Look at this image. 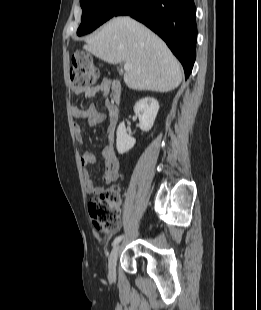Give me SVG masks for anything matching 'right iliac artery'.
Returning <instances> with one entry per match:
<instances>
[{"label": "right iliac artery", "instance_id": "right-iliac-artery-1", "mask_svg": "<svg viewBox=\"0 0 261 310\" xmlns=\"http://www.w3.org/2000/svg\"><path fill=\"white\" fill-rule=\"evenodd\" d=\"M122 238H123V235L117 236V237L114 239L112 245L115 246L116 244H118V243L122 240Z\"/></svg>", "mask_w": 261, "mask_h": 310}]
</instances>
